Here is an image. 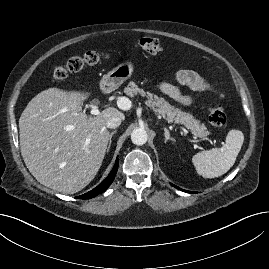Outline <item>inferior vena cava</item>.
Listing matches in <instances>:
<instances>
[{
    "label": "inferior vena cava",
    "mask_w": 269,
    "mask_h": 269,
    "mask_svg": "<svg viewBox=\"0 0 269 269\" xmlns=\"http://www.w3.org/2000/svg\"><path fill=\"white\" fill-rule=\"evenodd\" d=\"M120 124H121V118L116 117V116L109 118L106 122L107 128H110V129H115L119 127Z\"/></svg>",
    "instance_id": "1"
}]
</instances>
